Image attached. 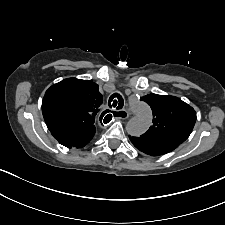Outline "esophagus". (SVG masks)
Wrapping results in <instances>:
<instances>
[{
    "instance_id": "esophagus-1",
    "label": "esophagus",
    "mask_w": 225,
    "mask_h": 225,
    "mask_svg": "<svg viewBox=\"0 0 225 225\" xmlns=\"http://www.w3.org/2000/svg\"><path fill=\"white\" fill-rule=\"evenodd\" d=\"M129 117V112L126 109L123 110H119L116 112V117L115 118H119V119H127Z\"/></svg>"
}]
</instances>
